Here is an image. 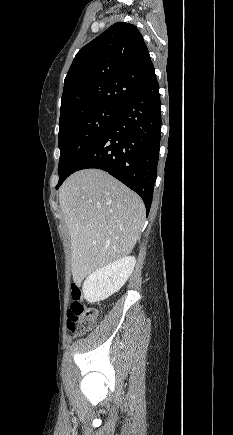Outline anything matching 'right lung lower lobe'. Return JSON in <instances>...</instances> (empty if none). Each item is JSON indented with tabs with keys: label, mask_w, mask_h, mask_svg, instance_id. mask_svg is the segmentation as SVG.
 <instances>
[{
	"label": "right lung lower lobe",
	"mask_w": 233,
	"mask_h": 435,
	"mask_svg": "<svg viewBox=\"0 0 233 435\" xmlns=\"http://www.w3.org/2000/svg\"><path fill=\"white\" fill-rule=\"evenodd\" d=\"M159 84L156 76L120 108L101 137L74 163L57 188L75 171L98 168L137 192L149 213L161 133Z\"/></svg>",
	"instance_id": "1"
}]
</instances>
